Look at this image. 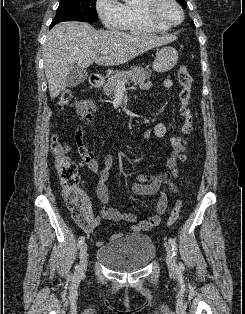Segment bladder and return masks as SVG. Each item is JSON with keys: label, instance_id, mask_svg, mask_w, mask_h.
<instances>
[{"label": "bladder", "instance_id": "obj_1", "mask_svg": "<svg viewBox=\"0 0 245 314\" xmlns=\"http://www.w3.org/2000/svg\"><path fill=\"white\" fill-rule=\"evenodd\" d=\"M155 255V245L148 235L130 234L100 247L96 259L112 270L130 272L145 268Z\"/></svg>", "mask_w": 245, "mask_h": 314}]
</instances>
